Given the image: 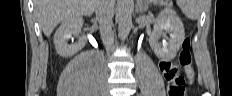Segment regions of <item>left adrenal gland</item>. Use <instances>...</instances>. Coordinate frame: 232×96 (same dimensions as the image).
Listing matches in <instances>:
<instances>
[{"label": "left adrenal gland", "mask_w": 232, "mask_h": 96, "mask_svg": "<svg viewBox=\"0 0 232 96\" xmlns=\"http://www.w3.org/2000/svg\"><path fill=\"white\" fill-rule=\"evenodd\" d=\"M145 3L143 5L140 6V9H139V13H144L147 11L148 9V4L146 3V1H144Z\"/></svg>", "instance_id": "1"}]
</instances>
